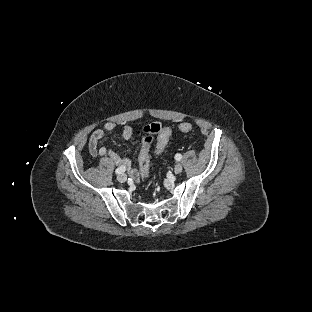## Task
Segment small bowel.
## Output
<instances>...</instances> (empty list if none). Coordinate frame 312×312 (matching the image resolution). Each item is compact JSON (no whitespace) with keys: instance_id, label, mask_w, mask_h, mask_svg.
I'll return each mask as SVG.
<instances>
[{"instance_id":"obj_1","label":"small bowel","mask_w":312,"mask_h":312,"mask_svg":"<svg viewBox=\"0 0 312 312\" xmlns=\"http://www.w3.org/2000/svg\"><path fill=\"white\" fill-rule=\"evenodd\" d=\"M116 126L117 124L115 122H106L102 128H98L93 131L88 139V150L92 156L109 157L116 165L126 166L130 177L133 180L138 181V171L131 165L129 159L116 154L114 151L104 146H99V142L105 134L115 130ZM133 134L134 129L132 126L124 125L122 127L121 136L124 140H129Z\"/></svg>"}]
</instances>
